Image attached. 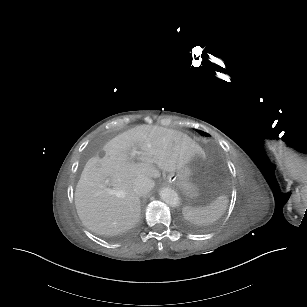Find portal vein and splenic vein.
<instances>
[{"instance_id":"portal-vein-and-splenic-vein-1","label":"portal vein and splenic vein","mask_w":307,"mask_h":307,"mask_svg":"<svg viewBox=\"0 0 307 307\" xmlns=\"http://www.w3.org/2000/svg\"><path fill=\"white\" fill-rule=\"evenodd\" d=\"M140 154H142V152L141 151H138Z\"/></svg>"}]
</instances>
